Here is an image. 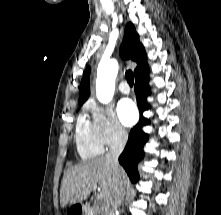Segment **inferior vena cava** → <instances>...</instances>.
<instances>
[{"label":"inferior vena cava","mask_w":221,"mask_h":215,"mask_svg":"<svg viewBox=\"0 0 221 215\" xmlns=\"http://www.w3.org/2000/svg\"><path fill=\"white\" fill-rule=\"evenodd\" d=\"M127 139V132L122 128H119L117 137L114 143L110 146L109 152L106 154V160L110 163L113 170L115 185L112 197L104 203L103 215H115V212L123 199L124 182L121 177L118 158L126 145Z\"/></svg>","instance_id":"obj_1"}]
</instances>
